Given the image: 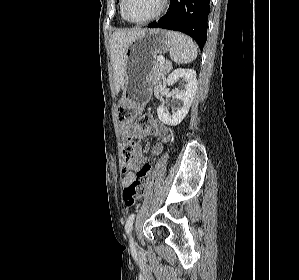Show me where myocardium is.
<instances>
[{"instance_id": "f54148a6", "label": "myocardium", "mask_w": 299, "mask_h": 280, "mask_svg": "<svg viewBox=\"0 0 299 280\" xmlns=\"http://www.w3.org/2000/svg\"><path fill=\"white\" fill-rule=\"evenodd\" d=\"M127 1L128 0H122V14H123L124 19L132 24L142 25V24H146V23H149V22L157 19L165 11L169 0H161L159 8L157 9V11L154 14H152L150 17H148L144 20H138V21L132 20L128 17L127 11H126Z\"/></svg>"}]
</instances>
